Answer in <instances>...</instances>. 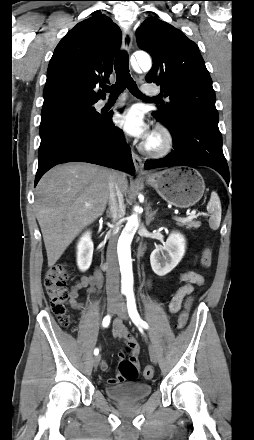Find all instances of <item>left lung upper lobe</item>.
<instances>
[{
  "label": "left lung upper lobe",
  "instance_id": "left-lung-upper-lobe-1",
  "mask_svg": "<svg viewBox=\"0 0 254 440\" xmlns=\"http://www.w3.org/2000/svg\"><path fill=\"white\" fill-rule=\"evenodd\" d=\"M137 43L153 57L146 81L159 84L170 100L153 112L160 122L173 130L184 116L218 122L212 80L193 41L172 25L150 18L137 30Z\"/></svg>",
  "mask_w": 254,
  "mask_h": 440
}]
</instances>
